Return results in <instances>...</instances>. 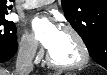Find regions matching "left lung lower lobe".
I'll list each match as a JSON object with an SVG mask.
<instances>
[{
    "instance_id": "1",
    "label": "left lung lower lobe",
    "mask_w": 107,
    "mask_h": 75,
    "mask_svg": "<svg viewBox=\"0 0 107 75\" xmlns=\"http://www.w3.org/2000/svg\"><path fill=\"white\" fill-rule=\"evenodd\" d=\"M90 55L97 63L102 65L104 68L107 67V47L105 45H102L98 50Z\"/></svg>"
}]
</instances>
